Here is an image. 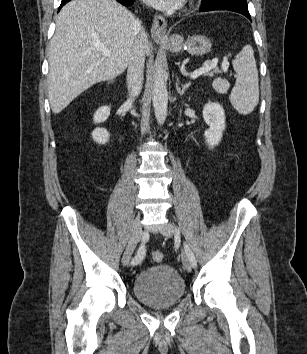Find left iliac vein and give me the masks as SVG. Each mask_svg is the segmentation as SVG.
I'll list each match as a JSON object with an SVG mask.
<instances>
[{
	"label": "left iliac vein",
	"mask_w": 307,
	"mask_h": 354,
	"mask_svg": "<svg viewBox=\"0 0 307 354\" xmlns=\"http://www.w3.org/2000/svg\"><path fill=\"white\" fill-rule=\"evenodd\" d=\"M161 233L166 236V237H172L175 233L174 227L171 224H165L163 227L160 229ZM181 259L183 263V267L187 272L192 271V265L190 262V259L185 251H182L181 253Z\"/></svg>",
	"instance_id": "4c4485c4"
}]
</instances>
